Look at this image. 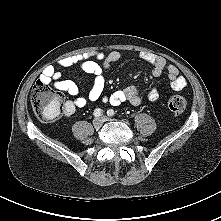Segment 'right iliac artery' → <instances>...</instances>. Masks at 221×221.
<instances>
[{
  "instance_id": "obj_1",
  "label": "right iliac artery",
  "mask_w": 221,
  "mask_h": 221,
  "mask_svg": "<svg viewBox=\"0 0 221 221\" xmlns=\"http://www.w3.org/2000/svg\"><path fill=\"white\" fill-rule=\"evenodd\" d=\"M93 114H94L95 117H99V116L102 115V110L101 109H95Z\"/></svg>"
}]
</instances>
